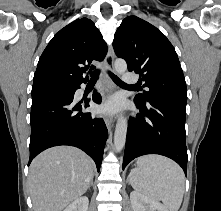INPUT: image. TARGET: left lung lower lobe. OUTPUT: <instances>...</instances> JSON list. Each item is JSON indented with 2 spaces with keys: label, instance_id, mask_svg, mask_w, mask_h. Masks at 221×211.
I'll return each mask as SVG.
<instances>
[{
  "label": "left lung lower lobe",
  "instance_id": "0a47b994",
  "mask_svg": "<svg viewBox=\"0 0 221 211\" xmlns=\"http://www.w3.org/2000/svg\"><path fill=\"white\" fill-rule=\"evenodd\" d=\"M135 104L140 114L129 120L123 169L136 157L159 154L173 159L186 174V103L156 100L141 104L135 100Z\"/></svg>",
  "mask_w": 221,
  "mask_h": 211
}]
</instances>
